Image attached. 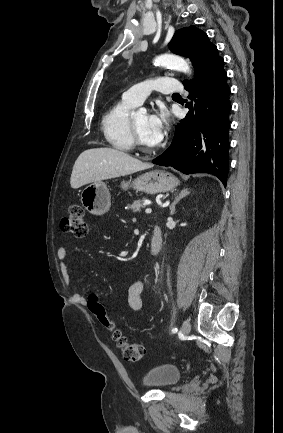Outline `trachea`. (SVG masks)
Segmentation results:
<instances>
[{
	"instance_id": "obj_1",
	"label": "trachea",
	"mask_w": 283,
	"mask_h": 433,
	"mask_svg": "<svg viewBox=\"0 0 283 433\" xmlns=\"http://www.w3.org/2000/svg\"><path fill=\"white\" fill-rule=\"evenodd\" d=\"M173 95H180L179 93H173Z\"/></svg>"
}]
</instances>
